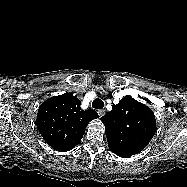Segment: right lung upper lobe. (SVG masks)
<instances>
[{"mask_svg": "<svg viewBox=\"0 0 187 187\" xmlns=\"http://www.w3.org/2000/svg\"><path fill=\"white\" fill-rule=\"evenodd\" d=\"M80 100L71 93L53 96L41 104L36 124L45 142L53 149L66 152L81 141L85 128L96 111L80 109Z\"/></svg>", "mask_w": 187, "mask_h": 187, "instance_id": "obj_1", "label": "right lung upper lobe"}]
</instances>
